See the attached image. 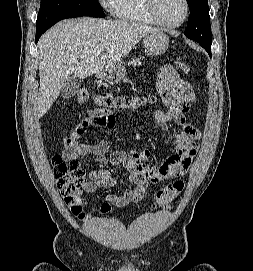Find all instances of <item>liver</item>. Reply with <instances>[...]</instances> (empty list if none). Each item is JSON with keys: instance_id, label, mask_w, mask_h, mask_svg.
Segmentation results:
<instances>
[{"instance_id": "obj_1", "label": "liver", "mask_w": 253, "mask_h": 271, "mask_svg": "<svg viewBox=\"0 0 253 271\" xmlns=\"http://www.w3.org/2000/svg\"><path fill=\"white\" fill-rule=\"evenodd\" d=\"M154 27L126 20L90 17L60 21L38 42L40 87L37 116L42 117L69 77L84 79L116 65ZM102 49L97 55L96 50Z\"/></svg>"}]
</instances>
